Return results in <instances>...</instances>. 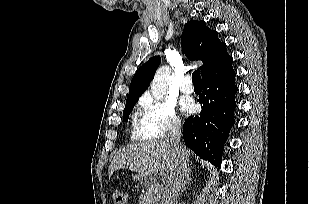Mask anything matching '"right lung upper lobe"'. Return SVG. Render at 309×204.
<instances>
[{
	"mask_svg": "<svg viewBox=\"0 0 309 204\" xmlns=\"http://www.w3.org/2000/svg\"><path fill=\"white\" fill-rule=\"evenodd\" d=\"M181 43L188 59L203 62L199 68L202 80L223 71L232 64L233 59L227 53L226 44L218 39V33L209 29L204 21L187 22ZM160 62L161 58L155 56L138 69L131 81L127 100L138 99L141 96L147 89Z\"/></svg>",
	"mask_w": 309,
	"mask_h": 204,
	"instance_id": "1",
	"label": "right lung upper lobe"
}]
</instances>
